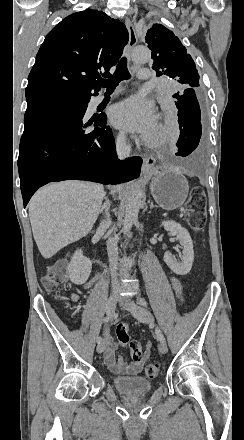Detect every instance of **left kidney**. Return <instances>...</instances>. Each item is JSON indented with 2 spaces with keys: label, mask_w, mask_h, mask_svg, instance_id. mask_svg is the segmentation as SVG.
Listing matches in <instances>:
<instances>
[{
  "label": "left kidney",
  "mask_w": 244,
  "mask_h": 440,
  "mask_svg": "<svg viewBox=\"0 0 244 440\" xmlns=\"http://www.w3.org/2000/svg\"><path fill=\"white\" fill-rule=\"evenodd\" d=\"M161 226H163L164 230H167V232L175 234L176 240H179L183 248L181 262H177L170 252H165L164 262H166L167 266H169L174 274H178V276H186V274H189L194 260L193 242L190 238V234L188 230H185V228H182L180 224L173 222V220L161 222Z\"/></svg>",
  "instance_id": "5707ae66"
}]
</instances>
